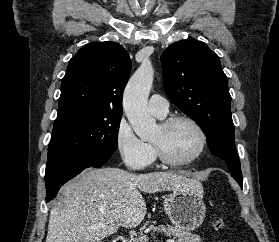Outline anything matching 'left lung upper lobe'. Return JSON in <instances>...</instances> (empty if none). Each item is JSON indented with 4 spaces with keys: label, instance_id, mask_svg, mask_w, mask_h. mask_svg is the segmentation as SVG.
Returning a JSON list of instances; mask_svg holds the SVG:
<instances>
[{
    "label": "left lung upper lobe",
    "instance_id": "left-lung-upper-lobe-1",
    "mask_svg": "<svg viewBox=\"0 0 279 242\" xmlns=\"http://www.w3.org/2000/svg\"><path fill=\"white\" fill-rule=\"evenodd\" d=\"M164 88L170 101L194 119L213 155L225 160L231 176L242 181L235 149L228 81L216 53L198 40L170 45L161 55Z\"/></svg>",
    "mask_w": 279,
    "mask_h": 242
}]
</instances>
